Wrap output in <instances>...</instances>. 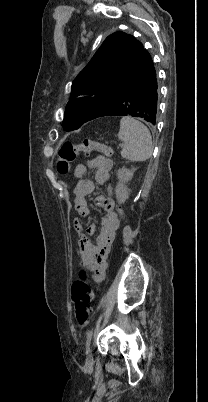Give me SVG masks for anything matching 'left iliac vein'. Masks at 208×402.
Wrapping results in <instances>:
<instances>
[{
  "mask_svg": "<svg viewBox=\"0 0 208 402\" xmlns=\"http://www.w3.org/2000/svg\"><path fill=\"white\" fill-rule=\"evenodd\" d=\"M86 364L88 366H91L93 364V354H92V349L88 351L87 356H86Z\"/></svg>",
  "mask_w": 208,
  "mask_h": 402,
  "instance_id": "1",
  "label": "left iliac vein"
}]
</instances>
